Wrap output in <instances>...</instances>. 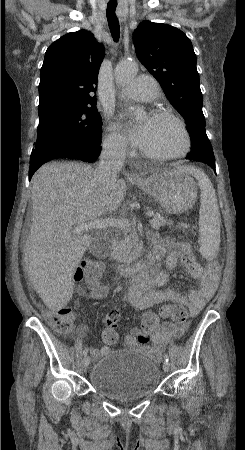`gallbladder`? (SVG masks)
<instances>
[{"label":"gallbladder","mask_w":245,"mask_h":450,"mask_svg":"<svg viewBox=\"0 0 245 450\" xmlns=\"http://www.w3.org/2000/svg\"><path fill=\"white\" fill-rule=\"evenodd\" d=\"M90 252H92L93 255L96 257H104L105 254L102 252V249L99 245H92L90 247Z\"/></svg>","instance_id":"obj_1"}]
</instances>
